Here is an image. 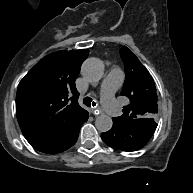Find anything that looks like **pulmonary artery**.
<instances>
[{
  "label": "pulmonary artery",
  "mask_w": 193,
  "mask_h": 193,
  "mask_svg": "<svg viewBox=\"0 0 193 193\" xmlns=\"http://www.w3.org/2000/svg\"><path fill=\"white\" fill-rule=\"evenodd\" d=\"M123 79V71L119 66H112L102 82V102L112 117L118 116L114 94L119 89Z\"/></svg>",
  "instance_id": "pulmonary-artery-1"
}]
</instances>
